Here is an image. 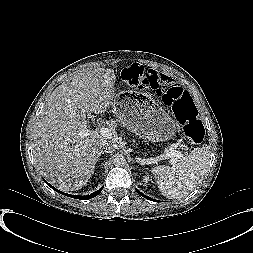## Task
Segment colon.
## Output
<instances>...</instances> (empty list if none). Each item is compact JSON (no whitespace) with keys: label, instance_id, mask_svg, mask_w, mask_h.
<instances>
[{"label":"colon","instance_id":"5ec220e1","mask_svg":"<svg viewBox=\"0 0 253 253\" xmlns=\"http://www.w3.org/2000/svg\"><path fill=\"white\" fill-rule=\"evenodd\" d=\"M146 70L139 64H132L123 68L121 75L125 82L139 86ZM163 104L170 108L178 121L183 124L185 135L194 143H200L205 136V129L197 118V108L191 95L181 86L174 85L158 90Z\"/></svg>","mask_w":253,"mask_h":253}]
</instances>
